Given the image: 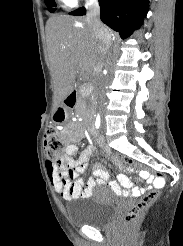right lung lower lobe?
<instances>
[{
  "instance_id": "98d812e1",
  "label": "right lung lower lobe",
  "mask_w": 183,
  "mask_h": 246,
  "mask_svg": "<svg viewBox=\"0 0 183 246\" xmlns=\"http://www.w3.org/2000/svg\"><path fill=\"white\" fill-rule=\"evenodd\" d=\"M148 4L149 0H99L100 18L125 39L143 23L148 12ZM85 13V8L70 12L75 16H82Z\"/></svg>"
}]
</instances>
